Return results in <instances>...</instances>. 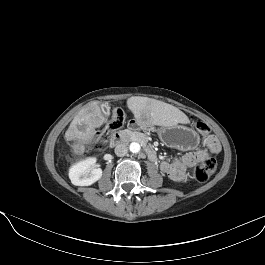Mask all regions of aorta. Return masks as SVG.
Segmentation results:
<instances>
[{
	"mask_svg": "<svg viewBox=\"0 0 265 265\" xmlns=\"http://www.w3.org/2000/svg\"><path fill=\"white\" fill-rule=\"evenodd\" d=\"M129 149L132 153H138L141 150V146L137 142H132L129 146Z\"/></svg>",
	"mask_w": 265,
	"mask_h": 265,
	"instance_id": "obj_1",
	"label": "aorta"
}]
</instances>
